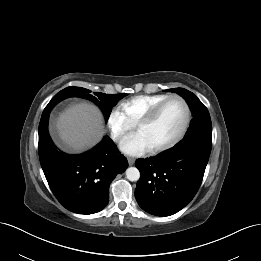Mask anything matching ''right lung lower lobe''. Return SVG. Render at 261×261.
Segmentation results:
<instances>
[{
    "label": "right lung lower lobe",
    "mask_w": 261,
    "mask_h": 261,
    "mask_svg": "<svg viewBox=\"0 0 261 261\" xmlns=\"http://www.w3.org/2000/svg\"><path fill=\"white\" fill-rule=\"evenodd\" d=\"M51 109H44L38 129L39 158L48 184L66 209L78 214L99 212L109 202L110 183L127 169V159L108 136L80 155L58 151L48 133Z\"/></svg>",
    "instance_id": "obj_1"
}]
</instances>
